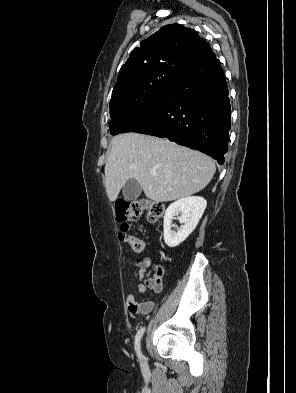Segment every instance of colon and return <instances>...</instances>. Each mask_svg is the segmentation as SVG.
Instances as JSON below:
<instances>
[{
  "label": "colon",
  "instance_id": "5ec220e1",
  "mask_svg": "<svg viewBox=\"0 0 296 393\" xmlns=\"http://www.w3.org/2000/svg\"><path fill=\"white\" fill-rule=\"evenodd\" d=\"M144 212L149 221H157L164 214V205L152 199L141 198L133 202L121 201L116 207V217L121 224L119 237L128 242L136 252H141L144 249V244L140 238L130 233L128 223L137 220ZM157 282V280H153L150 283L156 285Z\"/></svg>",
  "mask_w": 296,
  "mask_h": 393
}]
</instances>
